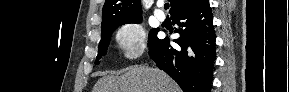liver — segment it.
I'll list each match as a JSON object with an SVG mask.
<instances>
[{"label":"liver","mask_w":289,"mask_h":92,"mask_svg":"<svg viewBox=\"0 0 289 92\" xmlns=\"http://www.w3.org/2000/svg\"><path fill=\"white\" fill-rule=\"evenodd\" d=\"M93 92H180V88L164 71L133 66L120 76L102 77Z\"/></svg>","instance_id":"6515ba94"}]
</instances>
